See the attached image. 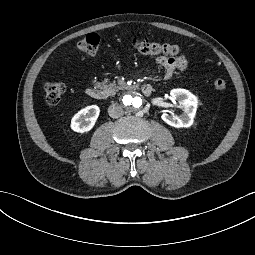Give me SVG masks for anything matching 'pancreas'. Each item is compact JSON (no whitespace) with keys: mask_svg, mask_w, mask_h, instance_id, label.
Segmentation results:
<instances>
[{"mask_svg":"<svg viewBox=\"0 0 255 255\" xmlns=\"http://www.w3.org/2000/svg\"><path fill=\"white\" fill-rule=\"evenodd\" d=\"M96 87L102 89L105 96L115 95L117 91L124 89L114 83L106 84V81L96 83Z\"/></svg>","mask_w":255,"mask_h":255,"instance_id":"obj_1","label":"pancreas"}]
</instances>
